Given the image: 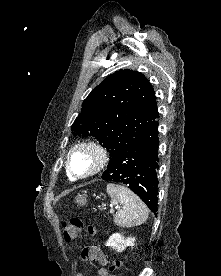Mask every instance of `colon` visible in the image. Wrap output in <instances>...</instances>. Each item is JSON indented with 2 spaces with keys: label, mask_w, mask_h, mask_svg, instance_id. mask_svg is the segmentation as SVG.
Returning <instances> with one entry per match:
<instances>
[{
  "label": "colon",
  "mask_w": 221,
  "mask_h": 276,
  "mask_svg": "<svg viewBox=\"0 0 221 276\" xmlns=\"http://www.w3.org/2000/svg\"><path fill=\"white\" fill-rule=\"evenodd\" d=\"M85 232L89 235L95 234L93 226L85 225L79 218L74 217L63 223V238L67 243L79 240ZM120 265V261L114 260L108 264L107 270L112 274V272L116 271Z\"/></svg>",
  "instance_id": "colon-1"
}]
</instances>
